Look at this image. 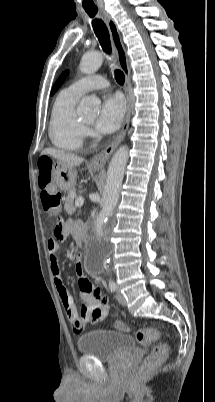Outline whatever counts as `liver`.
<instances>
[{
	"label": "liver",
	"instance_id": "obj_1",
	"mask_svg": "<svg viewBox=\"0 0 215 402\" xmlns=\"http://www.w3.org/2000/svg\"><path fill=\"white\" fill-rule=\"evenodd\" d=\"M42 154H49L58 161H61L71 167H76L79 166L83 162V158L79 157L77 155L67 153L61 150L53 149V148H47L42 151Z\"/></svg>",
	"mask_w": 215,
	"mask_h": 402
}]
</instances>
